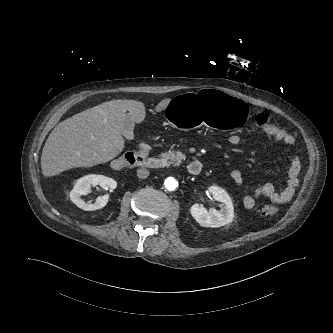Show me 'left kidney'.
<instances>
[{"label": "left kidney", "mask_w": 333, "mask_h": 333, "mask_svg": "<svg viewBox=\"0 0 333 333\" xmlns=\"http://www.w3.org/2000/svg\"><path fill=\"white\" fill-rule=\"evenodd\" d=\"M209 192L216 201L222 202L220 211H207L203 206L194 204L190 208L192 217L203 227L217 228L233 221L234 206L228 193L219 186H210Z\"/></svg>", "instance_id": "5707ae66"}]
</instances>
